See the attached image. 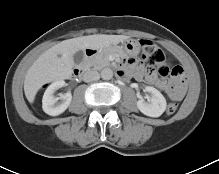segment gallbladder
Segmentation results:
<instances>
[{
	"instance_id": "gallbladder-1",
	"label": "gallbladder",
	"mask_w": 219,
	"mask_h": 174,
	"mask_svg": "<svg viewBox=\"0 0 219 174\" xmlns=\"http://www.w3.org/2000/svg\"><path fill=\"white\" fill-rule=\"evenodd\" d=\"M74 62L75 64H80L84 59V53L82 51H78L74 54Z\"/></svg>"
}]
</instances>
